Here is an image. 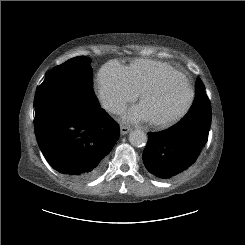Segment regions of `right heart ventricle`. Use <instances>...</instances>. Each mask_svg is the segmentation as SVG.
<instances>
[{
  "label": "right heart ventricle",
  "mask_w": 245,
  "mask_h": 245,
  "mask_svg": "<svg viewBox=\"0 0 245 245\" xmlns=\"http://www.w3.org/2000/svg\"><path fill=\"white\" fill-rule=\"evenodd\" d=\"M126 68L131 84L138 94L154 83L162 74L175 70L167 63L149 59H137Z\"/></svg>",
  "instance_id": "1"
}]
</instances>
